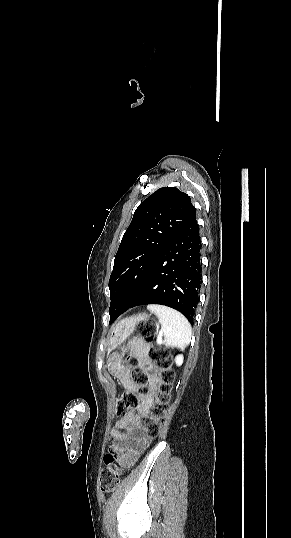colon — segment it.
Wrapping results in <instances>:
<instances>
[{
	"mask_svg": "<svg viewBox=\"0 0 291 538\" xmlns=\"http://www.w3.org/2000/svg\"><path fill=\"white\" fill-rule=\"evenodd\" d=\"M140 337L145 341H151L155 334V325L152 323H140L138 325ZM126 353L123 365L129 370L131 380L141 389L145 390L148 384V374L140 366V359L128 354V347L122 350ZM149 358L158 372L159 386L155 394V401L150 414L146 418L145 431L151 438L159 435L162 423L166 417L170 404V387L174 381V373L171 370L165 352L156 348L149 351ZM139 402V397L125 391L116 399V412L120 416L132 413ZM121 477V470L115 463V455L108 454L105 458V467L100 474L101 489L107 493L113 492Z\"/></svg>",
	"mask_w": 291,
	"mask_h": 538,
	"instance_id": "1",
	"label": "colon"
}]
</instances>
